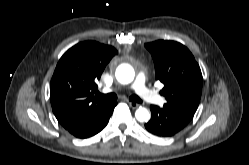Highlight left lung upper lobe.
I'll list each match as a JSON object with an SVG mask.
<instances>
[{
	"instance_id": "obj_1",
	"label": "left lung upper lobe",
	"mask_w": 249,
	"mask_h": 165,
	"mask_svg": "<svg viewBox=\"0 0 249 165\" xmlns=\"http://www.w3.org/2000/svg\"><path fill=\"white\" fill-rule=\"evenodd\" d=\"M155 65L156 79L164 84L160 92L164 107L194 116L202 93L201 70L192 53L181 43L158 40L145 44Z\"/></svg>"
}]
</instances>
